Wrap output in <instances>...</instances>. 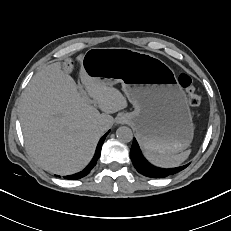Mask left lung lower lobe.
<instances>
[{
  "instance_id": "0a47b994",
  "label": "left lung lower lobe",
  "mask_w": 231,
  "mask_h": 231,
  "mask_svg": "<svg viewBox=\"0 0 231 231\" xmlns=\"http://www.w3.org/2000/svg\"><path fill=\"white\" fill-rule=\"evenodd\" d=\"M130 157L136 170L139 173L151 178H164L170 175H174L180 172L181 170L185 169L189 165L187 164L184 166L175 167L171 169H163V168L152 166L143 157L135 138L133 140V144L131 147Z\"/></svg>"
}]
</instances>
